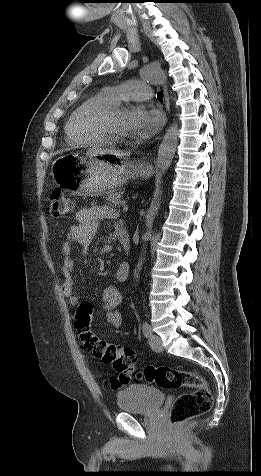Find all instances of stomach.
Segmentation results:
<instances>
[{"mask_svg": "<svg viewBox=\"0 0 261 476\" xmlns=\"http://www.w3.org/2000/svg\"><path fill=\"white\" fill-rule=\"evenodd\" d=\"M115 160V152L80 151L75 156H59V164H54L56 182L72 195H95L112 191L131 178L153 174L152 166L145 162H110Z\"/></svg>", "mask_w": 261, "mask_h": 476, "instance_id": "1", "label": "stomach"}]
</instances>
